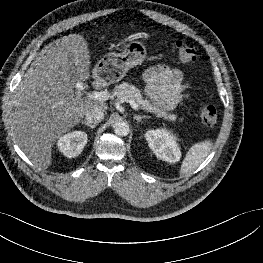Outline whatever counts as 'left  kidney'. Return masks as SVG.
<instances>
[{
	"label": "left kidney",
	"mask_w": 263,
	"mask_h": 263,
	"mask_svg": "<svg viewBox=\"0 0 263 263\" xmlns=\"http://www.w3.org/2000/svg\"><path fill=\"white\" fill-rule=\"evenodd\" d=\"M145 137L158 158L170 163L179 161L181 152L173 133L166 129H156L147 131Z\"/></svg>",
	"instance_id": "obj_1"
}]
</instances>
